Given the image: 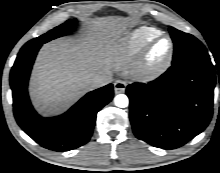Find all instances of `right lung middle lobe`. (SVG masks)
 Returning <instances> with one entry per match:
<instances>
[{
    "mask_svg": "<svg viewBox=\"0 0 220 173\" xmlns=\"http://www.w3.org/2000/svg\"><path fill=\"white\" fill-rule=\"evenodd\" d=\"M76 24V20H68L64 24L55 27L46 34H43L37 38H34L27 42L23 47H31L35 45H42L52 39L60 36H64L72 31L73 26Z\"/></svg>",
    "mask_w": 220,
    "mask_h": 173,
    "instance_id": "right-lung-middle-lobe-1",
    "label": "right lung middle lobe"
}]
</instances>
